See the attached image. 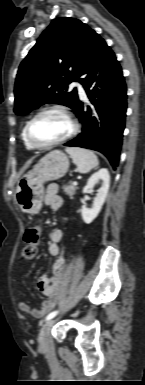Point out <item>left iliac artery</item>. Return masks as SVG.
Segmentation results:
<instances>
[{"mask_svg":"<svg viewBox=\"0 0 145 385\" xmlns=\"http://www.w3.org/2000/svg\"><path fill=\"white\" fill-rule=\"evenodd\" d=\"M57 313H58V311H53V312L49 313L46 317V320L54 318L57 315Z\"/></svg>","mask_w":145,"mask_h":385,"instance_id":"obj_1","label":"left iliac artery"}]
</instances>
